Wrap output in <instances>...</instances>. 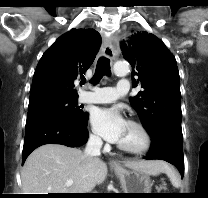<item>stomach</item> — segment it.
I'll return each mask as SVG.
<instances>
[{
    "mask_svg": "<svg viewBox=\"0 0 208 198\" xmlns=\"http://www.w3.org/2000/svg\"><path fill=\"white\" fill-rule=\"evenodd\" d=\"M114 171L120 179L123 193H151L152 182L149 174L120 166L114 167Z\"/></svg>",
    "mask_w": 208,
    "mask_h": 198,
    "instance_id": "stomach-1",
    "label": "stomach"
}]
</instances>
